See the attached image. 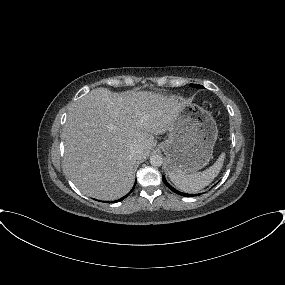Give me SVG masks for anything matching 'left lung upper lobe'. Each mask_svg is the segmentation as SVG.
<instances>
[{
  "label": "left lung upper lobe",
  "instance_id": "left-lung-upper-lobe-1",
  "mask_svg": "<svg viewBox=\"0 0 285 285\" xmlns=\"http://www.w3.org/2000/svg\"><path fill=\"white\" fill-rule=\"evenodd\" d=\"M190 85L194 88H204L202 85H198V84H190Z\"/></svg>",
  "mask_w": 285,
  "mask_h": 285
}]
</instances>
